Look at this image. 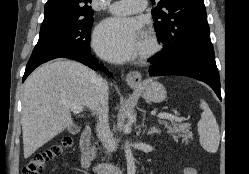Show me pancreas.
<instances>
[{
  "label": "pancreas",
  "mask_w": 249,
  "mask_h": 174,
  "mask_svg": "<svg viewBox=\"0 0 249 174\" xmlns=\"http://www.w3.org/2000/svg\"><path fill=\"white\" fill-rule=\"evenodd\" d=\"M160 124H163L167 129L168 133L173 135L175 141H178L179 138H183L184 141L193 137L192 132L189 131V124H177L172 123L171 125L166 121H160Z\"/></svg>",
  "instance_id": "cf45deb5"
}]
</instances>
